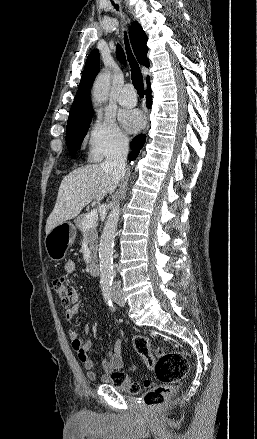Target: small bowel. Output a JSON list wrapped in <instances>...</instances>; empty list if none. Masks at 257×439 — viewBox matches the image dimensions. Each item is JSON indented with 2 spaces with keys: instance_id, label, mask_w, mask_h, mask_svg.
<instances>
[{
  "instance_id": "small-bowel-1",
  "label": "small bowel",
  "mask_w": 257,
  "mask_h": 439,
  "mask_svg": "<svg viewBox=\"0 0 257 439\" xmlns=\"http://www.w3.org/2000/svg\"><path fill=\"white\" fill-rule=\"evenodd\" d=\"M63 271L66 275H70L75 271V263L71 260L64 264ZM81 300L76 291H74L72 305L66 309L65 318L67 321H72L78 314L81 307ZM89 325L86 326L85 331L88 332ZM68 335L71 340V347L75 352L78 360L81 362L86 370L87 377L96 381L100 379L103 383H108L117 373H120L124 367V348L123 342L117 340L109 353L100 361L91 359L89 352L92 342L88 339H82L79 335L78 329L71 325L68 328ZM100 367L103 370V375L99 378L96 372Z\"/></svg>"
}]
</instances>
